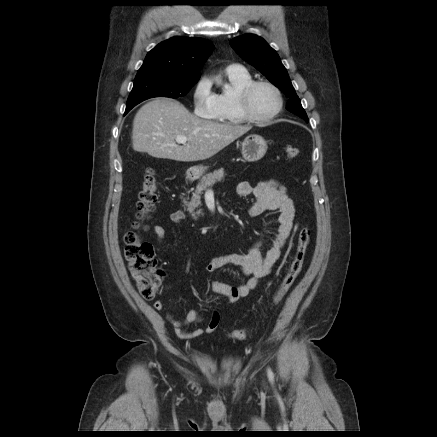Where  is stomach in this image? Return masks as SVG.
<instances>
[{
  "mask_svg": "<svg viewBox=\"0 0 437 437\" xmlns=\"http://www.w3.org/2000/svg\"><path fill=\"white\" fill-rule=\"evenodd\" d=\"M241 146L242 156L248 162L260 160L268 149L267 142L259 135L247 136ZM206 170L207 167L203 165L193 166L190 169L191 173L196 177L202 176Z\"/></svg>",
  "mask_w": 437,
  "mask_h": 437,
  "instance_id": "stomach-1",
  "label": "stomach"
}]
</instances>
